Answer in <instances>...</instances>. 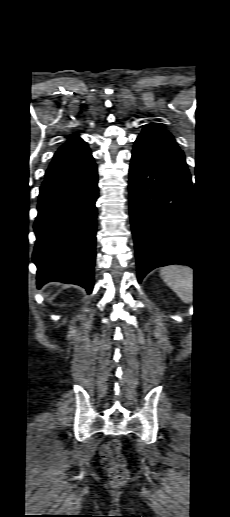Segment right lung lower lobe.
<instances>
[{
	"instance_id": "1",
	"label": "right lung lower lobe",
	"mask_w": 230,
	"mask_h": 517,
	"mask_svg": "<svg viewBox=\"0 0 230 517\" xmlns=\"http://www.w3.org/2000/svg\"><path fill=\"white\" fill-rule=\"evenodd\" d=\"M97 198V166L93 161L74 174L43 182L34 224L38 288L59 281L80 285L91 293Z\"/></svg>"
}]
</instances>
